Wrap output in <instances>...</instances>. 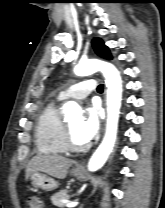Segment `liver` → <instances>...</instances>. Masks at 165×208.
<instances>
[{"mask_svg": "<svg viewBox=\"0 0 165 208\" xmlns=\"http://www.w3.org/2000/svg\"><path fill=\"white\" fill-rule=\"evenodd\" d=\"M73 163V160L59 155L38 154L30 160L26 168V176L28 177L32 172L41 171L54 178L64 179L67 176L69 167Z\"/></svg>", "mask_w": 165, "mask_h": 208, "instance_id": "6515ba94", "label": "liver"}]
</instances>
